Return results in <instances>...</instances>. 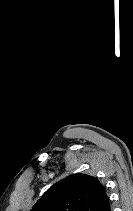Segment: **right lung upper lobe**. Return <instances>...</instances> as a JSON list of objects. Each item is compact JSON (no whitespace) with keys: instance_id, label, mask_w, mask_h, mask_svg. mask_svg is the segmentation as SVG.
Returning a JSON list of instances; mask_svg holds the SVG:
<instances>
[{"instance_id":"obj_1","label":"right lung upper lobe","mask_w":133,"mask_h":211,"mask_svg":"<svg viewBox=\"0 0 133 211\" xmlns=\"http://www.w3.org/2000/svg\"><path fill=\"white\" fill-rule=\"evenodd\" d=\"M109 201L97 178L74 174L51 186L31 211H110Z\"/></svg>"}]
</instances>
